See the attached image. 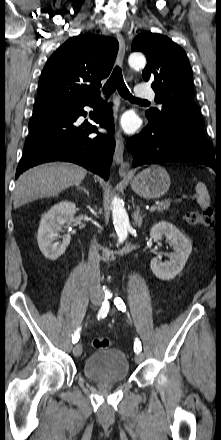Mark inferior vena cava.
<instances>
[{"label":"inferior vena cava","instance_id":"1","mask_svg":"<svg viewBox=\"0 0 221 440\" xmlns=\"http://www.w3.org/2000/svg\"><path fill=\"white\" fill-rule=\"evenodd\" d=\"M98 244L96 240L93 241L88 256V281L90 286V291L93 295L99 296L100 287V269H99V254H98Z\"/></svg>","mask_w":221,"mask_h":440}]
</instances>
